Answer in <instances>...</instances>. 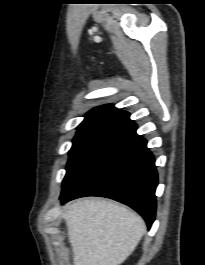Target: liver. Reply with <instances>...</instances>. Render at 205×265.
<instances>
[{
	"label": "liver",
	"mask_w": 205,
	"mask_h": 265,
	"mask_svg": "<svg viewBox=\"0 0 205 265\" xmlns=\"http://www.w3.org/2000/svg\"><path fill=\"white\" fill-rule=\"evenodd\" d=\"M63 218L74 265H120L146 233L138 214L112 201L77 200L66 205Z\"/></svg>",
	"instance_id": "obj_1"
}]
</instances>
